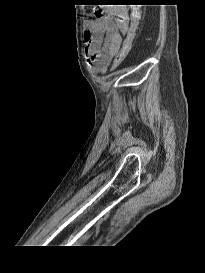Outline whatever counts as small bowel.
Instances as JSON below:
<instances>
[{
    "instance_id": "small-bowel-1",
    "label": "small bowel",
    "mask_w": 205,
    "mask_h": 273,
    "mask_svg": "<svg viewBox=\"0 0 205 273\" xmlns=\"http://www.w3.org/2000/svg\"><path fill=\"white\" fill-rule=\"evenodd\" d=\"M134 16L116 6H105L85 24L87 62L96 73H105L128 36Z\"/></svg>"
}]
</instances>
